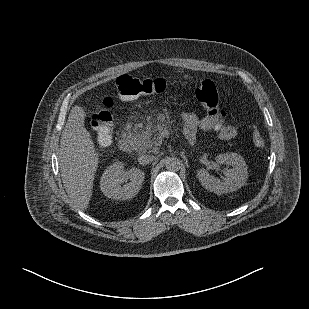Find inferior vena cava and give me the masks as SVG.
Masks as SVG:
<instances>
[{
  "label": "inferior vena cava",
  "mask_w": 309,
  "mask_h": 309,
  "mask_svg": "<svg viewBox=\"0 0 309 309\" xmlns=\"http://www.w3.org/2000/svg\"><path fill=\"white\" fill-rule=\"evenodd\" d=\"M153 160H154V157L151 155H147V154L146 155L142 154L138 157V163L140 165H147L151 163Z\"/></svg>",
  "instance_id": "inferior-vena-cava-1"
}]
</instances>
